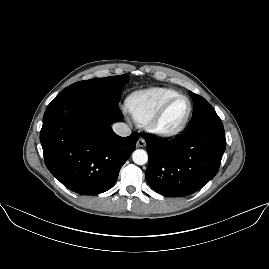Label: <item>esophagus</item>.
Returning a JSON list of instances; mask_svg holds the SVG:
<instances>
[{"label":"esophagus","mask_w":269,"mask_h":269,"mask_svg":"<svg viewBox=\"0 0 269 269\" xmlns=\"http://www.w3.org/2000/svg\"><path fill=\"white\" fill-rule=\"evenodd\" d=\"M136 147L137 148H144V147H146V142H145V140L142 137H140L138 139V141L136 143Z\"/></svg>","instance_id":"esophagus-1"}]
</instances>
